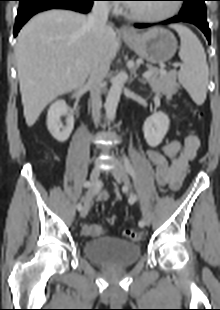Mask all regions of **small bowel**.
I'll use <instances>...</instances> for the list:
<instances>
[{"mask_svg":"<svg viewBox=\"0 0 220 310\" xmlns=\"http://www.w3.org/2000/svg\"><path fill=\"white\" fill-rule=\"evenodd\" d=\"M200 141L193 133H187L182 140H172L161 147V151L148 150L145 159L154 165L153 177L160 186H168L177 191L187 174L188 164L196 156ZM171 160V162L169 161ZM109 194L101 192L97 201H105ZM104 232L99 224H84L82 233L85 237L93 238Z\"/></svg>","mask_w":220,"mask_h":310,"instance_id":"obj_1","label":"small bowel"}]
</instances>
